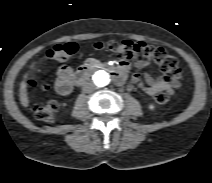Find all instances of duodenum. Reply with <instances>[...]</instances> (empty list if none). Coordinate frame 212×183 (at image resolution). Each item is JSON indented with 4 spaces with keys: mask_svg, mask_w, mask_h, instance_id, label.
Returning a JSON list of instances; mask_svg holds the SVG:
<instances>
[{
    "mask_svg": "<svg viewBox=\"0 0 212 183\" xmlns=\"http://www.w3.org/2000/svg\"><path fill=\"white\" fill-rule=\"evenodd\" d=\"M97 68L96 65L93 64H84L81 65L74 75V81L76 84H82L90 74ZM111 77L115 82H122L124 75L120 68L114 69L111 71Z\"/></svg>",
    "mask_w": 212,
    "mask_h": 183,
    "instance_id": "410a0bca",
    "label": "duodenum"
}]
</instances>
